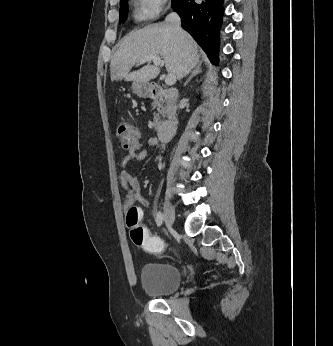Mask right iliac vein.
I'll use <instances>...</instances> for the list:
<instances>
[{
	"mask_svg": "<svg viewBox=\"0 0 333 346\" xmlns=\"http://www.w3.org/2000/svg\"><path fill=\"white\" fill-rule=\"evenodd\" d=\"M175 215L172 204L166 201L164 204V222L168 228H171L174 223Z\"/></svg>",
	"mask_w": 333,
	"mask_h": 346,
	"instance_id": "right-iliac-vein-1",
	"label": "right iliac vein"
}]
</instances>
